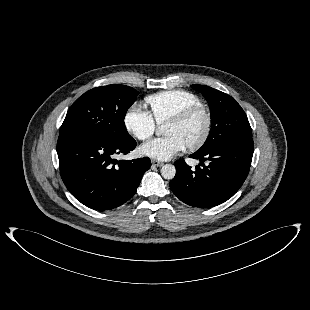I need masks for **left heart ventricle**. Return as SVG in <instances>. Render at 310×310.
<instances>
[{"label":"left heart ventricle","instance_id":"left-heart-ventricle-1","mask_svg":"<svg viewBox=\"0 0 310 310\" xmlns=\"http://www.w3.org/2000/svg\"><path fill=\"white\" fill-rule=\"evenodd\" d=\"M205 128V117L198 114L182 124H165L164 134L178 136L184 145L197 141Z\"/></svg>","mask_w":310,"mask_h":310}]
</instances>
